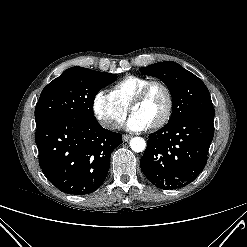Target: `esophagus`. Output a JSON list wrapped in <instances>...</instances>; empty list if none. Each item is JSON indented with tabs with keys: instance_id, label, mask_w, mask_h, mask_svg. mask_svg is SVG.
<instances>
[{
	"instance_id": "esophagus-1",
	"label": "esophagus",
	"mask_w": 247,
	"mask_h": 247,
	"mask_svg": "<svg viewBox=\"0 0 247 247\" xmlns=\"http://www.w3.org/2000/svg\"><path fill=\"white\" fill-rule=\"evenodd\" d=\"M122 139L124 142H128L131 139V136L130 135H123Z\"/></svg>"
}]
</instances>
